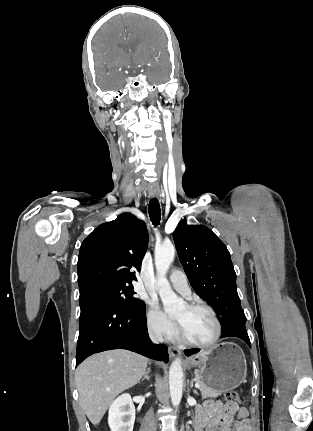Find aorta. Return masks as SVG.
<instances>
[{"instance_id":"1","label":"aorta","mask_w":313,"mask_h":431,"mask_svg":"<svg viewBox=\"0 0 313 431\" xmlns=\"http://www.w3.org/2000/svg\"><path fill=\"white\" fill-rule=\"evenodd\" d=\"M174 256L175 248L172 244L160 246L155 250L158 293L163 302L164 309L168 313L174 312L182 303V300L178 298L172 290L166 277V273L174 260ZM169 387L171 402L174 407H177L180 404L183 390V371L179 358H176L170 366Z\"/></svg>"}]
</instances>
